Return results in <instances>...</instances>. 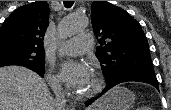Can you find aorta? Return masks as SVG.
<instances>
[{"instance_id":"aorta-1","label":"aorta","mask_w":171,"mask_h":110,"mask_svg":"<svg viewBox=\"0 0 171 110\" xmlns=\"http://www.w3.org/2000/svg\"><path fill=\"white\" fill-rule=\"evenodd\" d=\"M88 25V17L83 14H72L60 23L59 34L61 37H67L84 30Z\"/></svg>"}]
</instances>
